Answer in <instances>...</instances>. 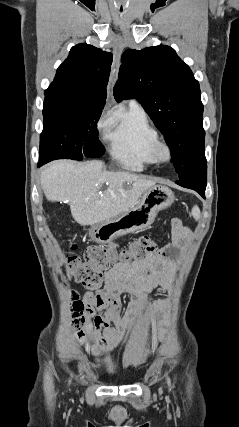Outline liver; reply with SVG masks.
<instances>
[{"label": "liver", "instance_id": "liver-1", "mask_svg": "<svg viewBox=\"0 0 239 427\" xmlns=\"http://www.w3.org/2000/svg\"><path fill=\"white\" fill-rule=\"evenodd\" d=\"M104 183L108 186L102 190ZM126 183H131L130 187ZM155 184L129 172L107 171L99 160L54 161L41 173L46 199L68 202L72 217L82 226L99 224L126 212Z\"/></svg>", "mask_w": 239, "mask_h": 427}]
</instances>
